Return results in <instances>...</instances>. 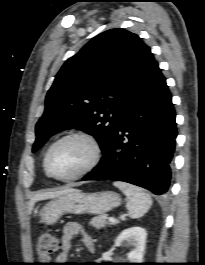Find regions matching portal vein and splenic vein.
I'll return each instance as SVG.
<instances>
[{
  "label": "portal vein and splenic vein",
  "mask_w": 205,
  "mask_h": 265,
  "mask_svg": "<svg viewBox=\"0 0 205 265\" xmlns=\"http://www.w3.org/2000/svg\"><path fill=\"white\" fill-rule=\"evenodd\" d=\"M108 220H109V222H111V223H114V222H116V219H115V218H113V217H109V218H108Z\"/></svg>",
  "instance_id": "obj_1"
}]
</instances>
